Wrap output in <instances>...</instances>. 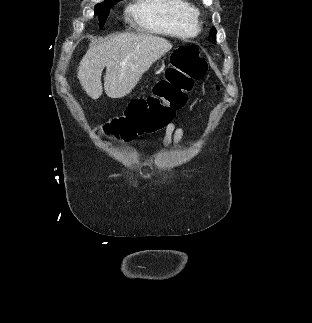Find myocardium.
I'll return each mask as SVG.
<instances>
[{"instance_id": "obj_1", "label": "myocardium", "mask_w": 312, "mask_h": 323, "mask_svg": "<svg viewBox=\"0 0 312 323\" xmlns=\"http://www.w3.org/2000/svg\"><path fill=\"white\" fill-rule=\"evenodd\" d=\"M189 15H194V12H189ZM195 15H196L197 17H200L201 15H204V12H201L200 10H197V11L195 12Z\"/></svg>"}]
</instances>
